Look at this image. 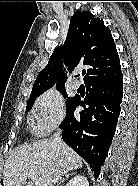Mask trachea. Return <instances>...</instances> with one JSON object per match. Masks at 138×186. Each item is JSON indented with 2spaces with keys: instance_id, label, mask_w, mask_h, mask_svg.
I'll list each match as a JSON object with an SVG mask.
<instances>
[{
  "instance_id": "3493384b",
  "label": "trachea",
  "mask_w": 138,
  "mask_h": 186,
  "mask_svg": "<svg viewBox=\"0 0 138 186\" xmlns=\"http://www.w3.org/2000/svg\"><path fill=\"white\" fill-rule=\"evenodd\" d=\"M85 74V72H82V75H84Z\"/></svg>"
}]
</instances>
